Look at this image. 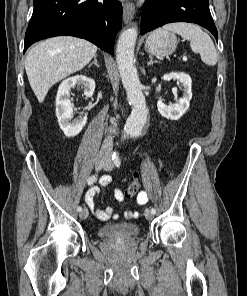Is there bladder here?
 <instances>
[{
	"mask_svg": "<svg viewBox=\"0 0 247 296\" xmlns=\"http://www.w3.org/2000/svg\"><path fill=\"white\" fill-rule=\"evenodd\" d=\"M140 228L132 222L106 224L98 228L97 234L107 240H121L136 237Z\"/></svg>",
	"mask_w": 247,
	"mask_h": 296,
	"instance_id": "bladder-1",
	"label": "bladder"
}]
</instances>
